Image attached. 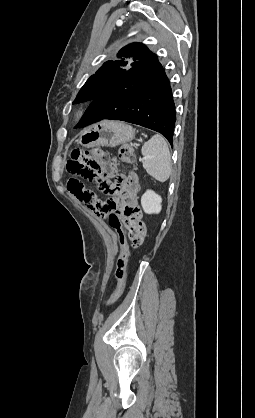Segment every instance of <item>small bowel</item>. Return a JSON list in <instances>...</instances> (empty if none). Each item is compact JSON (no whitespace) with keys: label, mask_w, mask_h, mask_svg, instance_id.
<instances>
[{"label":"small bowel","mask_w":255,"mask_h":418,"mask_svg":"<svg viewBox=\"0 0 255 418\" xmlns=\"http://www.w3.org/2000/svg\"><path fill=\"white\" fill-rule=\"evenodd\" d=\"M114 161L118 160L117 156L113 157ZM114 194L120 195L122 199V208L124 211L129 210L137 203V194L139 191V180L136 174L132 173L128 176H119L113 185ZM122 234H127L130 240L131 249H140L144 237L147 236L146 228H125Z\"/></svg>","instance_id":"c3829d8e"}]
</instances>
